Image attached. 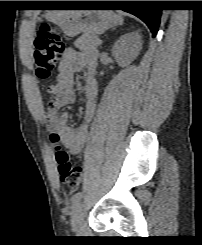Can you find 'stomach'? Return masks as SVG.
Wrapping results in <instances>:
<instances>
[{
  "instance_id": "0dacf381",
  "label": "stomach",
  "mask_w": 202,
  "mask_h": 245,
  "mask_svg": "<svg viewBox=\"0 0 202 245\" xmlns=\"http://www.w3.org/2000/svg\"><path fill=\"white\" fill-rule=\"evenodd\" d=\"M45 18L58 25L70 37L80 33L101 34L119 22L118 16L108 10L51 11Z\"/></svg>"
}]
</instances>
